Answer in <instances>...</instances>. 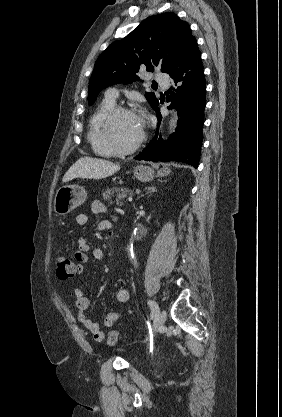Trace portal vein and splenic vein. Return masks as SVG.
I'll use <instances>...</instances> for the list:
<instances>
[{
  "mask_svg": "<svg viewBox=\"0 0 282 417\" xmlns=\"http://www.w3.org/2000/svg\"><path fill=\"white\" fill-rule=\"evenodd\" d=\"M131 200H132V198H131V196H129V198H126V199H125V202H126V203H130V202H131Z\"/></svg>",
  "mask_w": 282,
  "mask_h": 417,
  "instance_id": "obj_1",
  "label": "portal vein and splenic vein"
}]
</instances>
